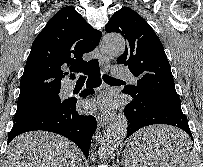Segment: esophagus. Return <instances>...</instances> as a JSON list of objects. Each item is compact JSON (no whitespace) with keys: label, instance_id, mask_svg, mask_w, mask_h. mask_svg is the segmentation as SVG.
<instances>
[{"label":"esophagus","instance_id":"1","mask_svg":"<svg viewBox=\"0 0 203 167\" xmlns=\"http://www.w3.org/2000/svg\"><path fill=\"white\" fill-rule=\"evenodd\" d=\"M99 50H100V57H99V61H100V65L103 69L104 72H107L109 67H110V59L109 57L104 53L103 49L101 48V43L99 44ZM112 115H106V116H100L97 119L98 122V126L99 127H104L106 126L109 121L111 120Z\"/></svg>","mask_w":203,"mask_h":167}]
</instances>
